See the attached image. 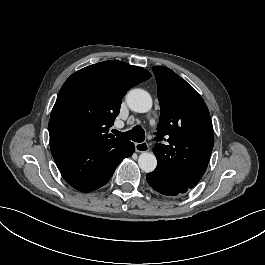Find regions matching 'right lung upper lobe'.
I'll return each instance as SVG.
<instances>
[{
    "mask_svg": "<svg viewBox=\"0 0 265 265\" xmlns=\"http://www.w3.org/2000/svg\"><path fill=\"white\" fill-rule=\"evenodd\" d=\"M151 74L118 60L87 66L63 84L51 112L49 135L83 141L116 140L108 134L123 96Z\"/></svg>",
    "mask_w": 265,
    "mask_h": 265,
    "instance_id": "1",
    "label": "right lung upper lobe"
}]
</instances>
